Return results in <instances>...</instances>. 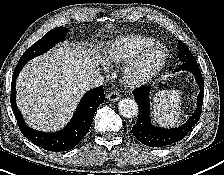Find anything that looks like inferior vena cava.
Instances as JSON below:
<instances>
[{
	"label": "inferior vena cava",
	"mask_w": 224,
	"mask_h": 175,
	"mask_svg": "<svg viewBox=\"0 0 224 175\" xmlns=\"http://www.w3.org/2000/svg\"><path fill=\"white\" fill-rule=\"evenodd\" d=\"M103 82L104 78L102 75L99 73H93L81 84V88L85 90L95 88L101 86Z\"/></svg>",
	"instance_id": "602c4592"
}]
</instances>
